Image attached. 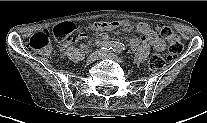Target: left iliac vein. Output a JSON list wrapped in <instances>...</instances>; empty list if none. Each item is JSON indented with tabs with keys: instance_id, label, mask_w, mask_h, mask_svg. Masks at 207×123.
Masks as SVG:
<instances>
[{
	"instance_id": "obj_1",
	"label": "left iliac vein",
	"mask_w": 207,
	"mask_h": 123,
	"mask_svg": "<svg viewBox=\"0 0 207 123\" xmlns=\"http://www.w3.org/2000/svg\"><path fill=\"white\" fill-rule=\"evenodd\" d=\"M101 58H109V59H112V60L117 61V62H123V60L120 57H118L117 55L113 54L110 51L102 52Z\"/></svg>"
}]
</instances>
